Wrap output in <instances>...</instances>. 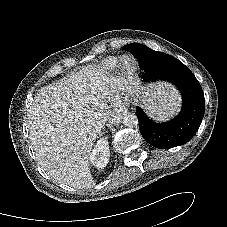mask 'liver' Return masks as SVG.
<instances>
[{"instance_id":"6515ba94","label":"liver","mask_w":227,"mask_h":227,"mask_svg":"<svg viewBox=\"0 0 227 227\" xmlns=\"http://www.w3.org/2000/svg\"><path fill=\"white\" fill-rule=\"evenodd\" d=\"M118 84L97 66H87L41 88L34 97L27 113L29 138L51 178L76 189L95 185L89 156L111 114L108 103L118 98Z\"/></svg>"}]
</instances>
